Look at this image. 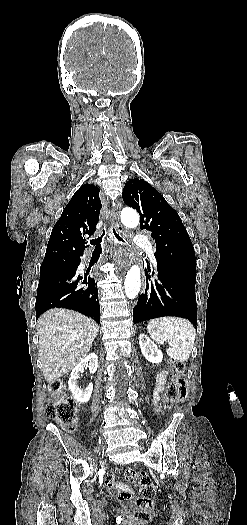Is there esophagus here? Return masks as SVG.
I'll return each mask as SVG.
<instances>
[{
	"label": "esophagus",
	"mask_w": 247,
	"mask_h": 525,
	"mask_svg": "<svg viewBox=\"0 0 247 525\" xmlns=\"http://www.w3.org/2000/svg\"><path fill=\"white\" fill-rule=\"evenodd\" d=\"M120 207H121V203L120 202H117L116 205H114L112 207L111 220H112V222H114L115 227L117 228L118 232L120 234H122L123 233V226L119 223V209H120ZM119 250H120L121 255L123 253H127L128 254L129 251H130L126 247H119ZM121 265H123L124 267H128L129 269H132L134 267V264L132 262H128L127 258L121 259ZM134 270H137L138 276H144V273H142V269H137V267H134ZM145 288H146V284H145V280H143L142 293L145 292Z\"/></svg>",
	"instance_id": "34e87169"
}]
</instances>
